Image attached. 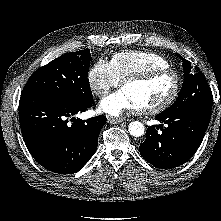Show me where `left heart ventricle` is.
<instances>
[{
    "instance_id": "obj_1",
    "label": "left heart ventricle",
    "mask_w": 221,
    "mask_h": 221,
    "mask_svg": "<svg viewBox=\"0 0 221 221\" xmlns=\"http://www.w3.org/2000/svg\"><path fill=\"white\" fill-rule=\"evenodd\" d=\"M173 87L174 78L171 75H163L146 83L127 84L122 89L141 109L164 101L171 94Z\"/></svg>"
}]
</instances>
